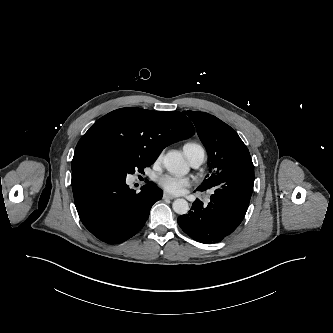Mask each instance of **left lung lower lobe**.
<instances>
[{
  "label": "left lung lower lobe",
  "instance_id": "left-lung-lower-lobe-1",
  "mask_svg": "<svg viewBox=\"0 0 333 333\" xmlns=\"http://www.w3.org/2000/svg\"><path fill=\"white\" fill-rule=\"evenodd\" d=\"M235 167L236 174L226 168L218 176V187L206 207L196 199L189 213L177 218L192 239L205 244L220 242L242 222L253 192L254 165L251 158H246Z\"/></svg>",
  "mask_w": 333,
  "mask_h": 333
}]
</instances>
